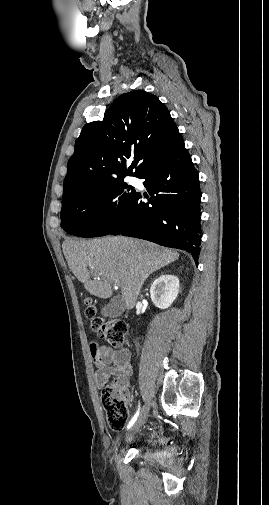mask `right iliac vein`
I'll return each mask as SVG.
<instances>
[{"instance_id":"right-iliac-vein-1","label":"right iliac vein","mask_w":269,"mask_h":505,"mask_svg":"<svg viewBox=\"0 0 269 505\" xmlns=\"http://www.w3.org/2000/svg\"><path fill=\"white\" fill-rule=\"evenodd\" d=\"M151 406L150 400H147L145 404L142 407L141 413L137 419V421L134 423L130 431L128 432L126 436V441L129 442L133 439L134 435L138 432V430L144 425L146 418L148 416V412Z\"/></svg>"}]
</instances>
